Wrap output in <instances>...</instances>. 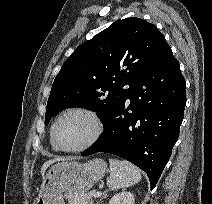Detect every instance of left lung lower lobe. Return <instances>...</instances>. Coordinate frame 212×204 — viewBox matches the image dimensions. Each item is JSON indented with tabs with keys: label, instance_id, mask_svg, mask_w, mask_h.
<instances>
[{
	"label": "left lung lower lobe",
	"instance_id": "obj_1",
	"mask_svg": "<svg viewBox=\"0 0 212 204\" xmlns=\"http://www.w3.org/2000/svg\"><path fill=\"white\" fill-rule=\"evenodd\" d=\"M185 105V80L170 48L103 121V134L82 156H120L144 170L153 189L178 139Z\"/></svg>",
	"mask_w": 212,
	"mask_h": 204
}]
</instances>
